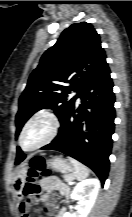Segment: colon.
I'll return each mask as SVG.
<instances>
[{"label": "colon", "mask_w": 132, "mask_h": 217, "mask_svg": "<svg viewBox=\"0 0 132 217\" xmlns=\"http://www.w3.org/2000/svg\"><path fill=\"white\" fill-rule=\"evenodd\" d=\"M47 173L44 159L41 156L33 157L30 161V168L21 190L22 196L27 200L39 196L41 191L39 180L42 176L47 175Z\"/></svg>", "instance_id": "1"}]
</instances>
